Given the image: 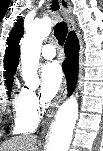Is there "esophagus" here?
<instances>
[{
	"label": "esophagus",
	"mask_w": 103,
	"mask_h": 151,
	"mask_svg": "<svg viewBox=\"0 0 103 151\" xmlns=\"http://www.w3.org/2000/svg\"><path fill=\"white\" fill-rule=\"evenodd\" d=\"M59 4L62 8L63 14H64V18L66 20V23L68 25L69 30H74V20H73V16H72V9H71V5L69 3V0H58ZM65 94H66V79L64 78L63 80V84L61 86V89L59 91V94L55 100V102L53 103L52 107L50 108L47 118L44 122V130H43V134L46 130V128L49 126V123L52 119V117L54 116V113L56 111V109L60 106V104L63 102L64 98H65Z\"/></svg>",
	"instance_id": "obj_1"
}]
</instances>
